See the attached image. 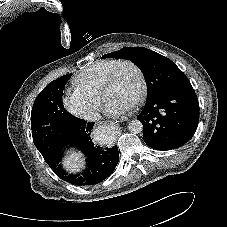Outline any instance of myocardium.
<instances>
[{
  "label": "myocardium",
  "mask_w": 227,
  "mask_h": 227,
  "mask_svg": "<svg viewBox=\"0 0 227 227\" xmlns=\"http://www.w3.org/2000/svg\"><path fill=\"white\" fill-rule=\"evenodd\" d=\"M124 66H131L137 72L139 77V90L134 102L131 104L132 107L138 106L142 100L144 99L146 92H147V79L143 69L134 61L132 60H121L109 73L108 77L106 78L102 90H101V98L102 100L106 101V95L109 89L114 85L121 69Z\"/></svg>",
  "instance_id": "1"
}]
</instances>
